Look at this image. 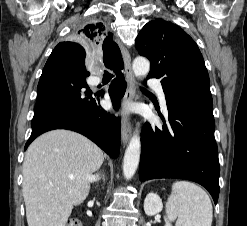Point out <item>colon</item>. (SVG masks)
I'll return each instance as SVG.
<instances>
[{
  "label": "colon",
  "mask_w": 247,
  "mask_h": 226,
  "mask_svg": "<svg viewBox=\"0 0 247 226\" xmlns=\"http://www.w3.org/2000/svg\"><path fill=\"white\" fill-rule=\"evenodd\" d=\"M66 226H81V223L77 219H70Z\"/></svg>",
  "instance_id": "5ec220e1"
}]
</instances>
